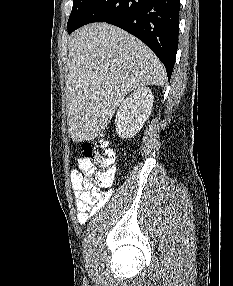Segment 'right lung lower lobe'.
<instances>
[{
  "mask_svg": "<svg viewBox=\"0 0 233 286\" xmlns=\"http://www.w3.org/2000/svg\"><path fill=\"white\" fill-rule=\"evenodd\" d=\"M180 0H91L69 34L92 22L116 25L143 41L170 79L178 47Z\"/></svg>",
  "mask_w": 233,
  "mask_h": 286,
  "instance_id": "obj_1",
  "label": "right lung lower lobe"
}]
</instances>
